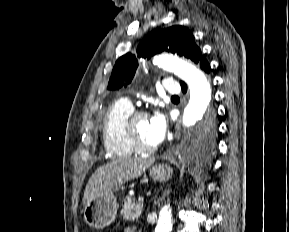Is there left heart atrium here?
<instances>
[{
	"label": "left heart atrium",
	"mask_w": 289,
	"mask_h": 232,
	"mask_svg": "<svg viewBox=\"0 0 289 232\" xmlns=\"http://www.w3.org/2000/svg\"><path fill=\"white\" fill-rule=\"evenodd\" d=\"M166 119L161 112H155L149 118L150 135L155 145L162 142L166 134Z\"/></svg>",
	"instance_id": "39dd6f15"
}]
</instances>
